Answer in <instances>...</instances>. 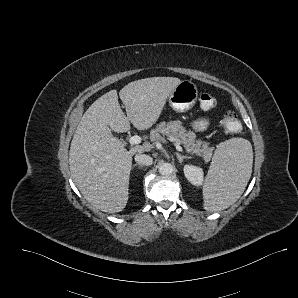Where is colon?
<instances>
[{"instance_id":"colon-1","label":"colon","mask_w":298,"mask_h":298,"mask_svg":"<svg viewBox=\"0 0 298 298\" xmlns=\"http://www.w3.org/2000/svg\"><path fill=\"white\" fill-rule=\"evenodd\" d=\"M199 102L203 110H210L216 104L215 98L208 92L200 95ZM221 123L225 131L230 134L237 135L242 132V124L233 111H226L223 114Z\"/></svg>"}]
</instances>
